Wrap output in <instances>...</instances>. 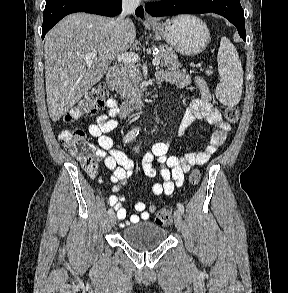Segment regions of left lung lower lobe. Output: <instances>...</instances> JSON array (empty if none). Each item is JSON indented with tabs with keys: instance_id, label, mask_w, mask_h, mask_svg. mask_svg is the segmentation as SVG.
<instances>
[{
	"instance_id": "left-lung-lower-lobe-1",
	"label": "left lung lower lobe",
	"mask_w": 288,
	"mask_h": 293,
	"mask_svg": "<svg viewBox=\"0 0 288 293\" xmlns=\"http://www.w3.org/2000/svg\"><path fill=\"white\" fill-rule=\"evenodd\" d=\"M145 10L154 17L213 12L233 23L246 41L244 12L239 0H162L146 4Z\"/></svg>"
}]
</instances>
